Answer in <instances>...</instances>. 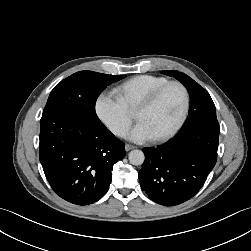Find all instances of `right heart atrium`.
<instances>
[{
    "label": "right heart atrium",
    "mask_w": 251,
    "mask_h": 251,
    "mask_svg": "<svg viewBox=\"0 0 251 251\" xmlns=\"http://www.w3.org/2000/svg\"><path fill=\"white\" fill-rule=\"evenodd\" d=\"M94 109L99 120L116 136H123L131 125V111L114 90L100 92Z\"/></svg>",
    "instance_id": "obj_1"
}]
</instances>
